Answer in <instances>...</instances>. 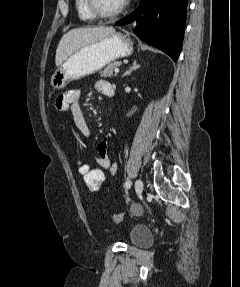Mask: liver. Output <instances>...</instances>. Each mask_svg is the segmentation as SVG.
Returning <instances> with one entry per match:
<instances>
[{
  "mask_svg": "<svg viewBox=\"0 0 240 287\" xmlns=\"http://www.w3.org/2000/svg\"><path fill=\"white\" fill-rule=\"evenodd\" d=\"M115 32L112 26L74 28L64 34L56 50L55 64L60 66L72 53Z\"/></svg>",
  "mask_w": 240,
  "mask_h": 287,
  "instance_id": "obj_1",
  "label": "liver"
}]
</instances>
